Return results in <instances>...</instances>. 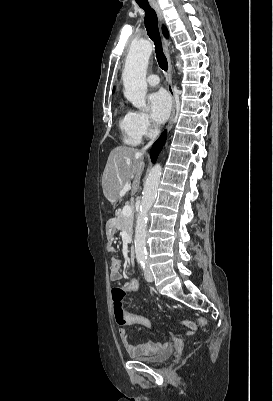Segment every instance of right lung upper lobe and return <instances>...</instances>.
Masks as SVG:
<instances>
[{"instance_id": "1", "label": "right lung upper lobe", "mask_w": 273, "mask_h": 401, "mask_svg": "<svg viewBox=\"0 0 273 401\" xmlns=\"http://www.w3.org/2000/svg\"><path fill=\"white\" fill-rule=\"evenodd\" d=\"M162 30H163V34L165 35V37H168V31H167L166 27L163 26Z\"/></svg>"}]
</instances>
